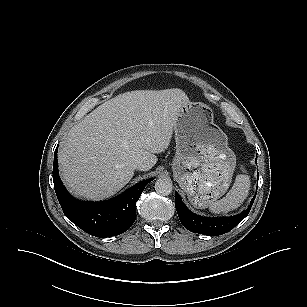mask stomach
<instances>
[{"instance_id":"1","label":"stomach","mask_w":307,"mask_h":307,"mask_svg":"<svg viewBox=\"0 0 307 307\" xmlns=\"http://www.w3.org/2000/svg\"><path fill=\"white\" fill-rule=\"evenodd\" d=\"M174 132V178L195 206L205 207L227 192L236 156L228 147L227 135L214 124L212 110L206 104H183Z\"/></svg>"}]
</instances>
